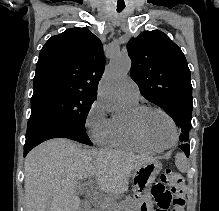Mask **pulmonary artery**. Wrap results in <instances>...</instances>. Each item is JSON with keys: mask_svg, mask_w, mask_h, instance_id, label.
Segmentation results:
<instances>
[{"mask_svg": "<svg viewBox=\"0 0 219 211\" xmlns=\"http://www.w3.org/2000/svg\"><path fill=\"white\" fill-rule=\"evenodd\" d=\"M121 99L125 103H137L140 97L139 87L136 82L130 77H126L121 90Z\"/></svg>", "mask_w": 219, "mask_h": 211, "instance_id": "pulmonary-artery-1", "label": "pulmonary artery"}]
</instances>
